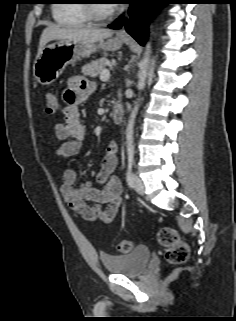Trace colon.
<instances>
[{
	"instance_id": "1",
	"label": "colon",
	"mask_w": 236,
	"mask_h": 321,
	"mask_svg": "<svg viewBox=\"0 0 236 321\" xmlns=\"http://www.w3.org/2000/svg\"><path fill=\"white\" fill-rule=\"evenodd\" d=\"M45 110L48 114H55L59 101L55 94L47 93L44 98ZM157 242L165 248V259L168 263L178 265L184 263L189 257V247L179 233L172 227H162L156 236ZM117 251L122 254L129 253L133 248L132 241L123 239L116 244Z\"/></svg>"
}]
</instances>
